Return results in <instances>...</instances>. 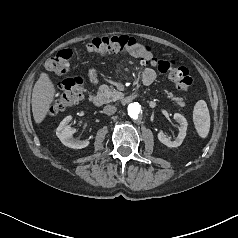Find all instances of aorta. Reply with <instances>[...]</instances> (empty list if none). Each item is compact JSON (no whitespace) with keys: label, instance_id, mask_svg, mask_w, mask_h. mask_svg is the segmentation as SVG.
Listing matches in <instances>:
<instances>
[{"label":"aorta","instance_id":"obj_1","mask_svg":"<svg viewBox=\"0 0 238 238\" xmlns=\"http://www.w3.org/2000/svg\"><path fill=\"white\" fill-rule=\"evenodd\" d=\"M127 110L131 118H137L142 113V107L138 102L130 103Z\"/></svg>","mask_w":238,"mask_h":238}]
</instances>
